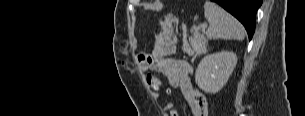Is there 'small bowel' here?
I'll list each match as a JSON object with an SVG mask.
<instances>
[{"instance_id":"small-bowel-1","label":"small bowel","mask_w":305,"mask_h":116,"mask_svg":"<svg viewBox=\"0 0 305 116\" xmlns=\"http://www.w3.org/2000/svg\"><path fill=\"white\" fill-rule=\"evenodd\" d=\"M170 45L163 39H159L150 54L138 55L140 67L146 71H154L162 74L169 82L172 89H179L187 105L189 116H208V104L205 95L198 90L193 82V67L181 59L169 58ZM148 87L158 91L162 87L159 78L148 75ZM165 116H179L173 103L165 105Z\"/></svg>"}]
</instances>
